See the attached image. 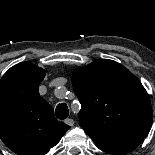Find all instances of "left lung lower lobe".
<instances>
[{"label": "left lung lower lobe", "mask_w": 155, "mask_h": 155, "mask_svg": "<svg viewBox=\"0 0 155 155\" xmlns=\"http://www.w3.org/2000/svg\"><path fill=\"white\" fill-rule=\"evenodd\" d=\"M141 142L142 139H129L116 143L96 144V145L99 149L107 153L124 154L134 150Z\"/></svg>", "instance_id": "obj_1"}]
</instances>
